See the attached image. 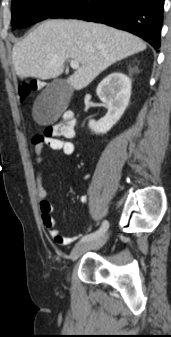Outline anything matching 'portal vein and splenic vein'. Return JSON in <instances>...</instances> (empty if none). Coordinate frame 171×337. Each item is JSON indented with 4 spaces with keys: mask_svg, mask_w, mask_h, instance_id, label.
<instances>
[{
    "mask_svg": "<svg viewBox=\"0 0 171 337\" xmlns=\"http://www.w3.org/2000/svg\"><path fill=\"white\" fill-rule=\"evenodd\" d=\"M70 66L72 69H78L80 67L79 62L76 60H71Z\"/></svg>",
    "mask_w": 171,
    "mask_h": 337,
    "instance_id": "18ae733b",
    "label": "portal vein and splenic vein"
}]
</instances>
